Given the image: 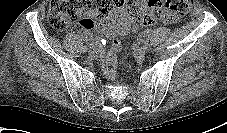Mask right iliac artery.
Wrapping results in <instances>:
<instances>
[{
    "label": "right iliac artery",
    "instance_id": "1",
    "mask_svg": "<svg viewBox=\"0 0 227 133\" xmlns=\"http://www.w3.org/2000/svg\"><path fill=\"white\" fill-rule=\"evenodd\" d=\"M88 48H89V46H87V45L83 46V51L87 52Z\"/></svg>",
    "mask_w": 227,
    "mask_h": 133
}]
</instances>
